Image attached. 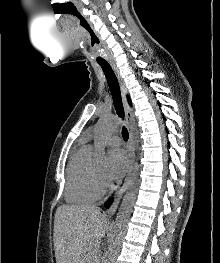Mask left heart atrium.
<instances>
[{"instance_id": "39dd6f15", "label": "left heart atrium", "mask_w": 220, "mask_h": 263, "mask_svg": "<svg viewBox=\"0 0 220 263\" xmlns=\"http://www.w3.org/2000/svg\"><path fill=\"white\" fill-rule=\"evenodd\" d=\"M128 164V157L123 150H112L109 154L108 179L111 181L121 179L128 169Z\"/></svg>"}]
</instances>
